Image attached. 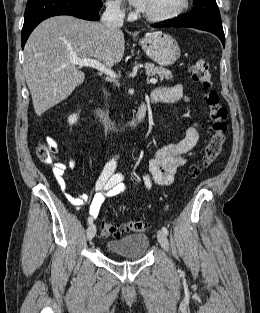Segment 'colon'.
<instances>
[{
  "instance_id": "5ec220e1",
  "label": "colon",
  "mask_w": 260,
  "mask_h": 313,
  "mask_svg": "<svg viewBox=\"0 0 260 313\" xmlns=\"http://www.w3.org/2000/svg\"><path fill=\"white\" fill-rule=\"evenodd\" d=\"M190 73L193 80L207 90L204 99L208 107L211 122V135L205 147L201 165L191 172V177L195 178L202 169L211 167L222 151L227 131V109L221 104L218 92L212 89L210 66L206 60H197L191 66ZM55 152L56 143L53 140L42 142L37 150L40 160L47 164L54 162ZM147 228V223L141 220H131L119 224L103 222L100 225V233L103 237H119L125 233L144 232Z\"/></svg>"
}]
</instances>
